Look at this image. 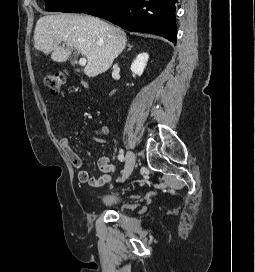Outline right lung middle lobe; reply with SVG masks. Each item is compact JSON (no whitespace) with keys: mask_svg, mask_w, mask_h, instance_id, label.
Wrapping results in <instances>:
<instances>
[{"mask_svg":"<svg viewBox=\"0 0 255 272\" xmlns=\"http://www.w3.org/2000/svg\"><path fill=\"white\" fill-rule=\"evenodd\" d=\"M52 12L84 13L98 0H44Z\"/></svg>","mask_w":255,"mask_h":272,"instance_id":"right-lung-middle-lobe-1","label":"right lung middle lobe"}]
</instances>
